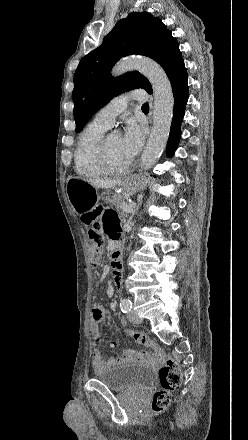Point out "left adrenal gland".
I'll return each instance as SVG.
<instances>
[{
  "label": "left adrenal gland",
  "mask_w": 248,
  "mask_h": 440,
  "mask_svg": "<svg viewBox=\"0 0 248 440\" xmlns=\"http://www.w3.org/2000/svg\"><path fill=\"white\" fill-rule=\"evenodd\" d=\"M140 205H141V203H138V205L134 208L132 216H134L137 213Z\"/></svg>",
  "instance_id": "left-adrenal-gland-1"
}]
</instances>
